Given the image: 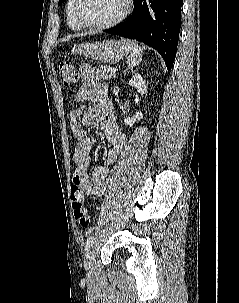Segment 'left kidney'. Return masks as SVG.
Listing matches in <instances>:
<instances>
[{
  "instance_id": "5707ae66",
  "label": "left kidney",
  "mask_w": 239,
  "mask_h": 303,
  "mask_svg": "<svg viewBox=\"0 0 239 303\" xmlns=\"http://www.w3.org/2000/svg\"><path fill=\"white\" fill-rule=\"evenodd\" d=\"M129 86L134 87L138 93L145 94L147 92V86L140 74H135L129 81ZM143 118L142 112H137L132 119H124V123L132 127L135 122L140 121Z\"/></svg>"
}]
</instances>
